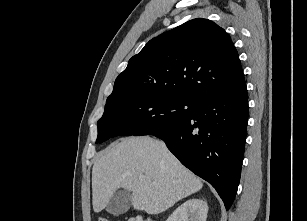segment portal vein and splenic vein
I'll return each mask as SVG.
<instances>
[{"instance_id": "1", "label": "portal vein and splenic vein", "mask_w": 307, "mask_h": 221, "mask_svg": "<svg viewBox=\"0 0 307 221\" xmlns=\"http://www.w3.org/2000/svg\"><path fill=\"white\" fill-rule=\"evenodd\" d=\"M139 178H140V179H144L145 176H144V175H140Z\"/></svg>"}]
</instances>
